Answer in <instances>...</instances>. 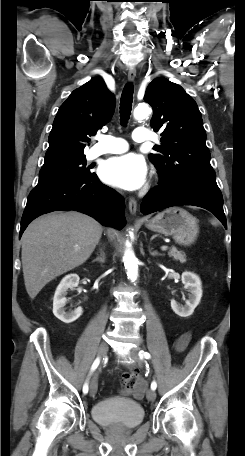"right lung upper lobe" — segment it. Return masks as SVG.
Segmentation results:
<instances>
[{
	"mask_svg": "<svg viewBox=\"0 0 245 456\" xmlns=\"http://www.w3.org/2000/svg\"><path fill=\"white\" fill-rule=\"evenodd\" d=\"M114 109L115 98L101 78L74 90L54 119L42 167L84 157L89 136L110 121Z\"/></svg>",
	"mask_w": 245,
	"mask_h": 456,
	"instance_id": "1",
	"label": "right lung upper lobe"
}]
</instances>
